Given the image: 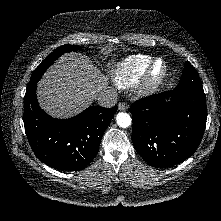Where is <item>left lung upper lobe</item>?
<instances>
[{
  "instance_id": "5c2ea615",
  "label": "left lung upper lobe",
  "mask_w": 221,
  "mask_h": 221,
  "mask_svg": "<svg viewBox=\"0 0 221 221\" xmlns=\"http://www.w3.org/2000/svg\"><path fill=\"white\" fill-rule=\"evenodd\" d=\"M177 88H187L203 92V86L195 68L186 61L184 71Z\"/></svg>"
}]
</instances>
